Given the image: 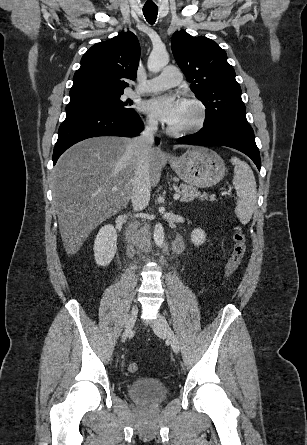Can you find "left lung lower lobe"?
Here are the masks:
<instances>
[{
  "instance_id": "obj_1",
  "label": "left lung lower lobe",
  "mask_w": 307,
  "mask_h": 445,
  "mask_svg": "<svg viewBox=\"0 0 307 445\" xmlns=\"http://www.w3.org/2000/svg\"><path fill=\"white\" fill-rule=\"evenodd\" d=\"M181 144L223 145L237 149L249 156L261 168L259 150L255 143L252 127L239 122H222L203 127L199 132L178 139Z\"/></svg>"
}]
</instances>
